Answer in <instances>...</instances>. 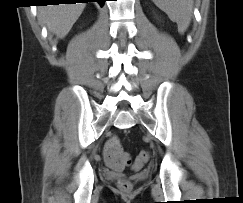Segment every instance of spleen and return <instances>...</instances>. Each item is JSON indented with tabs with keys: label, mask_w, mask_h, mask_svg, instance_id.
Listing matches in <instances>:
<instances>
[{
	"label": "spleen",
	"mask_w": 243,
	"mask_h": 203,
	"mask_svg": "<svg viewBox=\"0 0 243 203\" xmlns=\"http://www.w3.org/2000/svg\"><path fill=\"white\" fill-rule=\"evenodd\" d=\"M164 11L171 21L176 22L178 31L183 33L189 26L192 16L193 0H152Z\"/></svg>",
	"instance_id": "1"
}]
</instances>
